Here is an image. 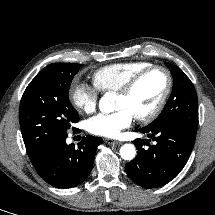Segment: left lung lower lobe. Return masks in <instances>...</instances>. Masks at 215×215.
Returning <instances> with one entry per match:
<instances>
[{"label": "left lung lower lobe", "mask_w": 215, "mask_h": 215, "mask_svg": "<svg viewBox=\"0 0 215 215\" xmlns=\"http://www.w3.org/2000/svg\"><path fill=\"white\" fill-rule=\"evenodd\" d=\"M153 137L136 139L138 153L125 166L128 176L145 188L160 187L174 179L185 166L194 146L197 129L178 123L146 126L135 130ZM144 143L148 148H144Z\"/></svg>", "instance_id": "obj_1"}]
</instances>
